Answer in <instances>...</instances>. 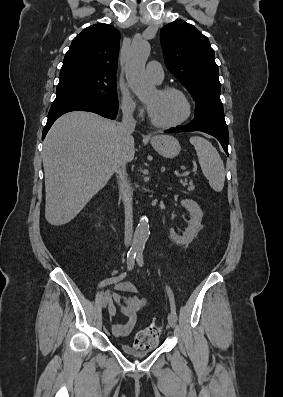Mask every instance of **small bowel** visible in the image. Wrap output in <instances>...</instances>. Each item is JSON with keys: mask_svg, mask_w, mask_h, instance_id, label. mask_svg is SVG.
<instances>
[{"mask_svg": "<svg viewBox=\"0 0 283 397\" xmlns=\"http://www.w3.org/2000/svg\"><path fill=\"white\" fill-rule=\"evenodd\" d=\"M115 292L109 301V316L114 321L117 310L127 317L124 324L113 322L112 333L115 337H125L134 328L137 314L147 305L145 298L138 297L139 289L132 282H120L114 287Z\"/></svg>", "mask_w": 283, "mask_h": 397, "instance_id": "obj_1", "label": "small bowel"}]
</instances>
